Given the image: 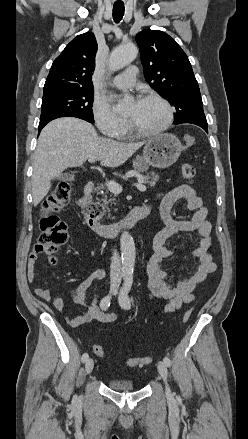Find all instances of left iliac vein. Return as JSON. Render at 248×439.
I'll return each mask as SVG.
<instances>
[{"label": "left iliac vein", "mask_w": 248, "mask_h": 439, "mask_svg": "<svg viewBox=\"0 0 248 439\" xmlns=\"http://www.w3.org/2000/svg\"><path fill=\"white\" fill-rule=\"evenodd\" d=\"M157 368H158V372H159L160 376L162 377V379L165 382L166 394H167L168 397H170L171 396V390H170V388L168 386V383H167V377H168L167 366H166V364L163 361H159L157 363Z\"/></svg>", "instance_id": "4c4485c4"}]
</instances>
